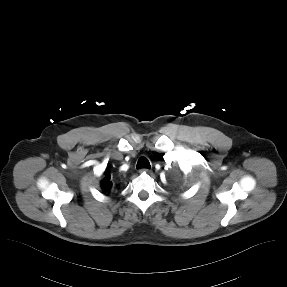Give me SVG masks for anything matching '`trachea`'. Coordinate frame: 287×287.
<instances>
[{"label":"trachea","mask_w":287,"mask_h":287,"mask_svg":"<svg viewBox=\"0 0 287 287\" xmlns=\"http://www.w3.org/2000/svg\"><path fill=\"white\" fill-rule=\"evenodd\" d=\"M137 168L138 169H140V168H148V169H150L151 166H150L149 161L145 157H141L138 160V162H137Z\"/></svg>","instance_id":"obj_1"}]
</instances>
